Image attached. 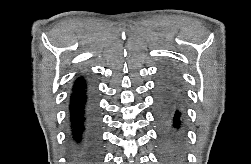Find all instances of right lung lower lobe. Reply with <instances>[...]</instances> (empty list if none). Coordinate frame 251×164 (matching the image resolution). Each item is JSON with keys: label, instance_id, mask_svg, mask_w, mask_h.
I'll return each instance as SVG.
<instances>
[{"label": "right lung lower lobe", "instance_id": "98d812e1", "mask_svg": "<svg viewBox=\"0 0 251 164\" xmlns=\"http://www.w3.org/2000/svg\"><path fill=\"white\" fill-rule=\"evenodd\" d=\"M71 135L75 144V158L95 162L98 154V121L88 102L87 85L82 77L74 82L70 96Z\"/></svg>", "mask_w": 251, "mask_h": 164}]
</instances>
